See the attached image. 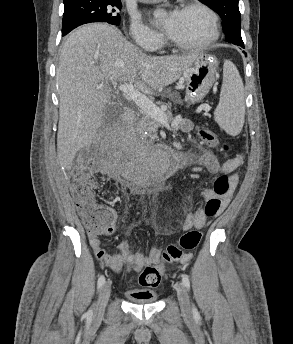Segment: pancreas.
I'll use <instances>...</instances> for the list:
<instances>
[{
	"mask_svg": "<svg viewBox=\"0 0 293 344\" xmlns=\"http://www.w3.org/2000/svg\"><path fill=\"white\" fill-rule=\"evenodd\" d=\"M179 98H180L179 95H177L176 101H179ZM165 114L167 115L168 120L172 121L171 112L167 111ZM185 123H186L185 120H181L179 122L178 127L180 129H183ZM159 126H160V123L156 119L150 117L146 113H142L140 120L136 126V130L140 133H143L144 131H150L151 133L149 135L150 136L152 135L153 139H155L156 138V130Z\"/></svg>",
	"mask_w": 293,
	"mask_h": 344,
	"instance_id": "obj_1",
	"label": "pancreas"
}]
</instances>
